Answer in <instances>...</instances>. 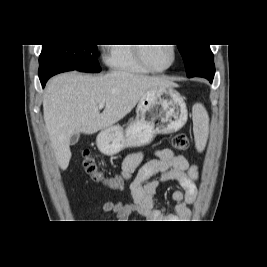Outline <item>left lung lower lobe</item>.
<instances>
[{
	"label": "left lung lower lobe",
	"mask_w": 267,
	"mask_h": 267,
	"mask_svg": "<svg viewBox=\"0 0 267 267\" xmlns=\"http://www.w3.org/2000/svg\"><path fill=\"white\" fill-rule=\"evenodd\" d=\"M214 74H215V67L210 66V67H205V68L199 70L194 76L204 77V78L208 79L210 82H212V80L214 78Z\"/></svg>",
	"instance_id": "obj_1"
}]
</instances>
